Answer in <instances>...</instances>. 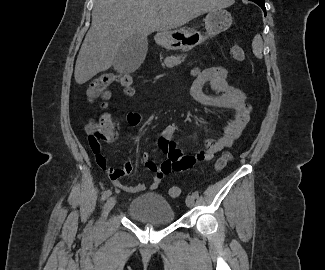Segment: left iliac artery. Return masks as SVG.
Segmentation results:
<instances>
[{"mask_svg":"<svg viewBox=\"0 0 325 270\" xmlns=\"http://www.w3.org/2000/svg\"><path fill=\"white\" fill-rule=\"evenodd\" d=\"M192 196H193L194 198H198L199 194H198V192L195 191V192L192 193Z\"/></svg>","mask_w":325,"mask_h":270,"instance_id":"left-iliac-artery-1","label":"left iliac artery"}]
</instances>
